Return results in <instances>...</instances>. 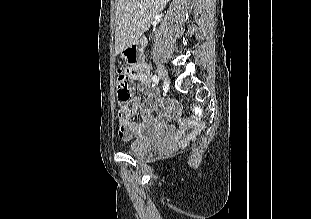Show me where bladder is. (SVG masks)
I'll list each match as a JSON object with an SVG mask.
<instances>
[{
	"label": "bladder",
	"mask_w": 311,
	"mask_h": 219,
	"mask_svg": "<svg viewBox=\"0 0 311 219\" xmlns=\"http://www.w3.org/2000/svg\"><path fill=\"white\" fill-rule=\"evenodd\" d=\"M153 149L152 142L134 141L129 146V153L133 156L146 155Z\"/></svg>",
	"instance_id": "31cf9c89"
}]
</instances>
